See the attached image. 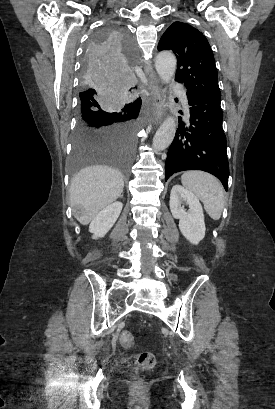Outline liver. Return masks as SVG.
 I'll return each mask as SVG.
<instances>
[{
    "label": "liver",
    "instance_id": "6515ba94",
    "mask_svg": "<svg viewBox=\"0 0 275 409\" xmlns=\"http://www.w3.org/2000/svg\"><path fill=\"white\" fill-rule=\"evenodd\" d=\"M124 188L122 172L105 164H92L81 168L72 178L70 186L71 207H82L81 225H88L102 209L121 196Z\"/></svg>",
    "mask_w": 275,
    "mask_h": 409
}]
</instances>
